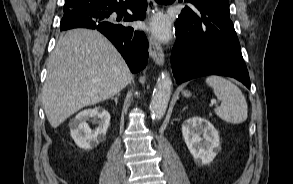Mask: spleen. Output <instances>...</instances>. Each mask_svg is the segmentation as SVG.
Wrapping results in <instances>:
<instances>
[{
  "label": "spleen",
  "instance_id": "spleen-1",
  "mask_svg": "<svg viewBox=\"0 0 293 184\" xmlns=\"http://www.w3.org/2000/svg\"><path fill=\"white\" fill-rule=\"evenodd\" d=\"M206 83L221 100V105L214 110L219 118L233 124L243 123L247 119L248 105L239 87L218 75L207 77Z\"/></svg>",
  "mask_w": 293,
  "mask_h": 184
}]
</instances>
